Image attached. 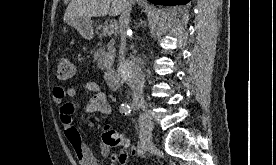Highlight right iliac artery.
<instances>
[{
    "instance_id": "obj_1",
    "label": "right iliac artery",
    "mask_w": 276,
    "mask_h": 165,
    "mask_svg": "<svg viewBox=\"0 0 276 165\" xmlns=\"http://www.w3.org/2000/svg\"><path fill=\"white\" fill-rule=\"evenodd\" d=\"M131 109L132 107L129 104H122L120 107V112L124 115H129L131 113ZM138 133H139V139H140L138 154L142 156L146 152L147 131L145 127V121L141 116L139 118Z\"/></svg>"
}]
</instances>
